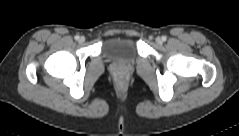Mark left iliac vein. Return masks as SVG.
Instances as JSON below:
<instances>
[{
  "label": "left iliac vein",
  "mask_w": 239,
  "mask_h": 136,
  "mask_svg": "<svg viewBox=\"0 0 239 136\" xmlns=\"http://www.w3.org/2000/svg\"><path fill=\"white\" fill-rule=\"evenodd\" d=\"M156 43H157V44H162V39H161L160 37H157V38H156Z\"/></svg>",
  "instance_id": "left-iliac-vein-1"
}]
</instances>
